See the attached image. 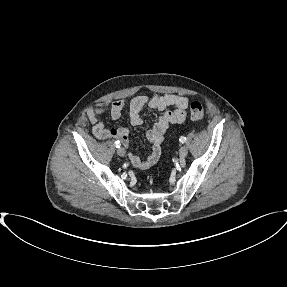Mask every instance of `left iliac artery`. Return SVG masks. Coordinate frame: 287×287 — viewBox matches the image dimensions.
Here are the masks:
<instances>
[{
  "label": "left iliac artery",
  "mask_w": 287,
  "mask_h": 287,
  "mask_svg": "<svg viewBox=\"0 0 287 287\" xmlns=\"http://www.w3.org/2000/svg\"><path fill=\"white\" fill-rule=\"evenodd\" d=\"M179 141H180L181 143H185V142H186V137L181 136L180 139H179Z\"/></svg>",
  "instance_id": "44dca946"
}]
</instances>
